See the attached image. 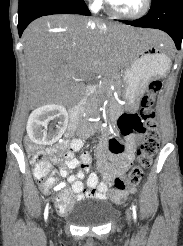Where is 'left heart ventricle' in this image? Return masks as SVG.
<instances>
[{"label":"left heart ventricle","instance_id":"1","mask_svg":"<svg viewBox=\"0 0 183 246\" xmlns=\"http://www.w3.org/2000/svg\"><path fill=\"white\" fill-rule=\"evenodd\" d=\"M110 2L117 11L133 14L142 8L144 0H110Z\"/></svg>","mask_w":183,"mask_h":246}]
</instances>
